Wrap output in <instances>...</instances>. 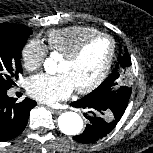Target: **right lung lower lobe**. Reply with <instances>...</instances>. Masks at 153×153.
Here are the masks:
<instances>
[{"label": "right lung lower lobe", "mask_w": 153, "mask_h": 153, "mask_svg": "<svg viewBox=\"0 0 153 153\" xmlns=\"http://www.w3.org/2000/svg\"><path fill=\"white\" fill-rule=\"evenodd\" d=\"M36 102L26 98L20 103L7 96V89H0V142L11 140L25 129L29 113Z\"/></svg>", "instance_id": "98d812e1"}]
</instances>
